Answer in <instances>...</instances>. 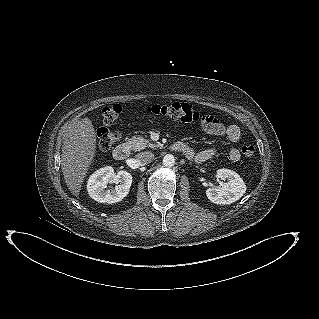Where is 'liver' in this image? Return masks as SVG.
Listing matches in <instances>:
<instances>
[{"mask_svg": "<svg viewBox=\"0 0 319 319\" xmlns=\"http://www.w3.org/2000/svg\"><path fill=\"white\" fill-rule=\"evenodd\" d=\"M96 134L90 119L71 122L63 135L61 166L68 189L78 196L95 156Z\"/></svg>", "mask_w": 319, "mask_h": 319, "instance_id": "6515ba94", "label": "liver"}]
</instances>
